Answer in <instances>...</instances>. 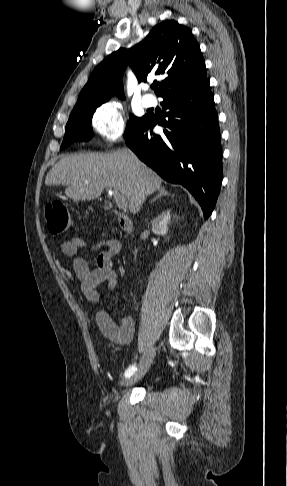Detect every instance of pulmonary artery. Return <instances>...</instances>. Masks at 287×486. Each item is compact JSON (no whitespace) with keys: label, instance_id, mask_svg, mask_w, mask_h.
<instances>
[{"label":"pulmonary artery","instance_id":"1","mask_svg":"<svg viewBox=\"0 0 287 486\" xmlns=\"http://www.w3.org/2000/svg\"><path fill=\"white\" fill-rule=\"evenodd\" d=\"M155 102H156V99L153 95L151 94H145L143 97H142V104L145 106V107H152L153 105H155Z\"/></svg>","mask_w":287,"mask_h":486}]
</instances>
